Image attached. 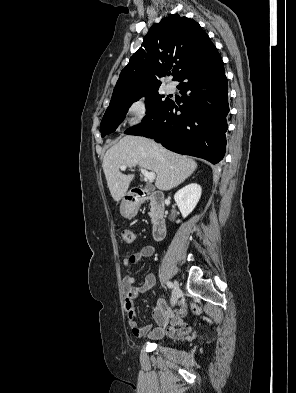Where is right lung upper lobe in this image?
<instances>
[{
    "mask_svg": "<svg viewBox=\"0 0 296 393\" xmlns=\"http://www.w3.org/2000/svg\"><path fill=\"white\" fill-rule=\"evenodd\" d=\"M213 46L200 25L178 14L163 18L149 30L142 47L130 58L114 88L111 101L159 88L160 79H177Z\"/></svg>",
    "mask_w": 296,
    "mask_h": 393,
    "instance_id": "right-lung-upper-lobe-1",
    "label": "right lung upper lobe"
}]
</instances>
